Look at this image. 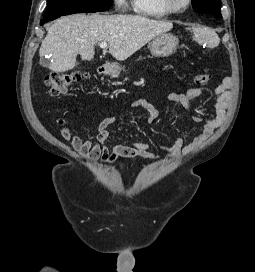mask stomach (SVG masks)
Wrapping results in <instances>:
<instances>
[{
  "label": "stomach",
  "mask_w": 255,
  "mask_h": 272,
  "mask_svg": "<svg viewBox=\"0 0 255 272\" xmlns=\"http://www.w3.org/2000/svg\"><path fill=\"white\" fill-rule=\"evenodd\" d=\"M178 47V38L171 33H163L156 36L149 44L150 52L154 57H168ZM122 68L119 65H111L109 73L112 77H118Z\"/></svg>",
  "instance_id": "1"
}]
</instances>
